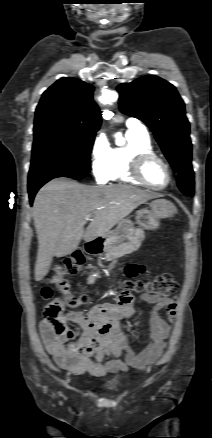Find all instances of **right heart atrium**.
<instances>
[{"label":"right heart atrium","instance_id":"obj_1","mask_svg":"<svg viewBox=\"0 0 212 438\" xmlns=\"http://www.w3.org/2000/svg\"><path fill=\"white\" fill-rule=\"evenodd\" d=\"M110 146L106 135L100 132L93 140L90 149L91 170L95 179L103 183L107 180L110 167Z\"/></svg>","mask_w":212,"mask_h":438}]
</instances>
